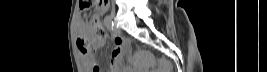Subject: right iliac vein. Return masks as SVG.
<instances>
[{
    "label": "right iliac vein",
    "mask_w": 267,
    "mask_h": 72,
    "mask_svg": "<svg viewBox=\"0 0 267 72\" xmlns=\"http://www.w3.org/2000/svg\"><path fill=\"white\" fill-rule=\"evenodd\" d=\"M115 16H116V13H115L114 11H112V13H111V18L114 19Z\"/></svg>",
    "instance_id": "63e3f726"
}]
</instances>
